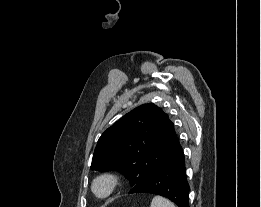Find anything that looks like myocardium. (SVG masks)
<instances>
[{"label": "myocardium", "instance_id": "obj_1", "mask_svg": "<svg viewBox=\"0 0 261 207\" xmlns=\"http://www.w3.org/2000/svg\"><path fill=\"white\" fill-rule=\"evenodd\" d=\"M118 177L114 173L104 172L96 176L91 184V191L98 199L108 198L118 186ZM102 186L103 190L98 191V187Z\"/></svg>", "mask_w": 261, "mask_h": 207}]
</instances>
